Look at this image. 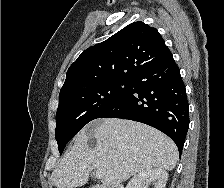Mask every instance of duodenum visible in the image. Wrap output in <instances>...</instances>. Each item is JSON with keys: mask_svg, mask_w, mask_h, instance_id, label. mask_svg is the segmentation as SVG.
I'll use <instances>...</instances> for the list:
<instances>
[{"mask_svg": "<svg viewBox=\"0 0 224 188\" xmlns=\"http://www.w3.org/2000/svg\"><path fill=\"white\" fill-rule=\"evenodd\" d=\"M93 188H105V187H103V186H97V187H93Z\"/></svg>", "mask_w": 224, "mask_h": 188, "instance_id": "410a0bca", "label": "duodenum"}]
</instances>
